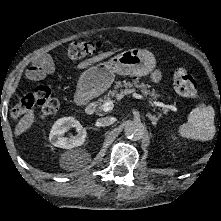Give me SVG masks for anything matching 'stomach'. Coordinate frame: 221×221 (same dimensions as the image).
Instances as JSON below:
<instances>
[{"instance_id":"stomach-1","label":"stomach","mask_w":221,"mask_h":221,"mask_svg":"<svg viewBox=\"0 0 221 221\" xmlns=\"http://www.w3.org/2000/svg\"><path fill=\"white\" fill-rule=\"evenodd\" d=\"M156 67L153 53L146 49H129L117 54L107 62L86 69L79 77L77 94L88 101L104 93L113 83L115 74L145 76Z\"/></svg>"}]
</instances>
